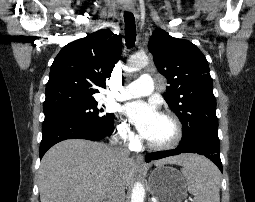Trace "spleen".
<instances>
[{"label":"spleen","mask_w":255,"mask_h":202,"mask_svg":"<svg viewBox=\"0 0 255 202\" xmlns=\"http://www.w3.org/2000/svg\"><path fill=\"white\" fill-rule=\"evenodd\" d=\"M181 171L194 202H220L221 175L208 159L194 155Z\"/></svg>","instance_id":"spleen-1"}]
</instances>
